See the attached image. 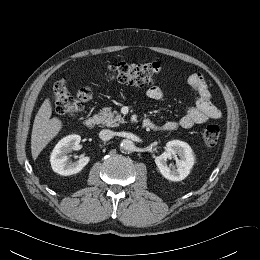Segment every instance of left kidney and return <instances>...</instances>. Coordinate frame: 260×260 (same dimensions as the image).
Instances as JSON below:
<instances>
[{
	"mask_svg": "<svg viewBox=\"0 0 260 260\" xmlns=\"http://www.w3.org/2000/svg\"><path fill=\"white\" fill-rule=\"evenodd\" d=\"M179 156L176 164H167V159ZM160 173L168 180L181 181L185 179L194 165V154L191 147L180 140H172L166 144L165 151L155 158Z\"/></svg>",
	"mask_w": 260,
	"mask_h": 260,
	"instance_id": "5707ae66",
	"label": "left kidney"
}]
</instances>
